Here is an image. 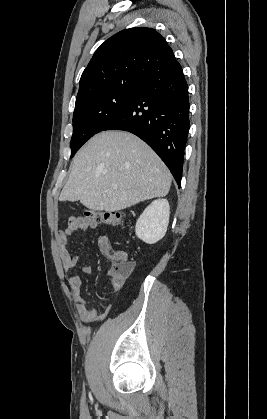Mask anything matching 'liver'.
<instances>
[{
  "label": "liver",
  "instance_id": "obj_1",
  "mask_svg": "<svg viewBox=\"0 0 267 419\" xmlns=\"http://www.w3.org/2000/svg\"><path fill=\"white\" fill-rule=\"evenodd\" d=\"M171 181L166 165L140 138L105 131L75 156L60 201H80L90 210L114 212L166 196Z\"/></svg>",
  "mask_w": 267,
  "mask_h": 419
}]
</instances>
